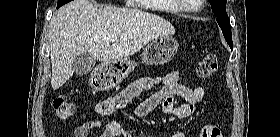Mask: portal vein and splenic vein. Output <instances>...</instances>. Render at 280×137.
<instances>
[{
    "label": "portal vein and splenic vein",
    "instance_id": "obj_1",
    "mask_svg": "<svg viewBox=\"0 0 280 137\" xmlns=\"http://www.w3.org/2000/svg\"><path fill=\"white\" fill-rule=\"evenodd\" d=\"M117 39H118L117 36H112V37L110 38V41H116Z\"/></svg>",
    "mask_w": 280,
    "mask_h": 137
}]
</instances>
